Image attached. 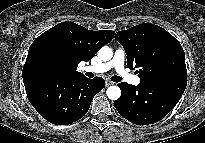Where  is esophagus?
<instances>
[{
  "label": "esophagus",
  "instance_id": "esophagus-1",
  "mask_svg": "<svg viewBox=\"0 0 205 143\" xmlns=\"http://www.w3.org/2000/svg\"><path fill=\"white\" fill-rule=\"evenodd\" d=\"M114 83L110 80H106V86H110V85H113Z\"/></svg>",
  "mask_w": 205,
  "mask_h": 143
}]
</instances>
